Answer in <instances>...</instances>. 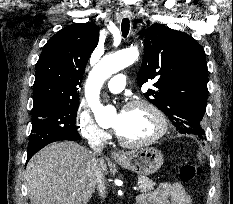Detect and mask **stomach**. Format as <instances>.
<instances>
[{"label":"stomach","mask_w":233,"mask_h":204,"mask_svg":"<svg viewBox=\"0 0 233 204\" xmlns=\"http://www.w3.org/2000/svg\"><path fill=\"white\" fill-rule=\"evenodd\" d=\"M117 162L123 167L142 176L157 172L164 162L163 154L153 147L125 153Z\"/></svg>","instance_id":"stomach-1"}]
</instances>
